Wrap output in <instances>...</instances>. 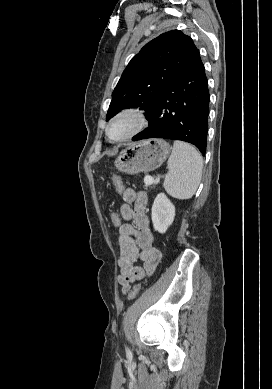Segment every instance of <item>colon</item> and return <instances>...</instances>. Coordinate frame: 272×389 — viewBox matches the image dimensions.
Returning <instances> with one entry per match:
<instances>
[{
  "label": "colon",
  "instance_id": "5ec220e1",
  "mask_svg": "<svg viewBox=\"0 0 272 389\" xmlns=\"http://www.w3.org/2000/svg\"><path fill=\"white\" fill-rule=\"evenodd\" d=\"M113 183H114V186L115 188L118 190V191H122L123 189V185H122V182H121V179L118 175H114L113 176ZM110 219H111V223L112 225L115 227V228H119L122 224V218L120 216V214L118 212H112L111 213V216H110ZM140 289H141V286L139 284H136L134 285L131 290L129 291V294H128V298L129 299H134L137 297V295L139 294L140 292Z\"/></svg>",
  "mask_w": 272,
  "mask_h": 389
}]
</instances>
